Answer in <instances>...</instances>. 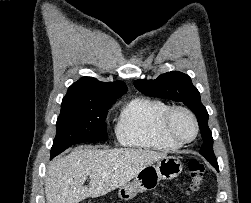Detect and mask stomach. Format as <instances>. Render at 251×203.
I'll list each match as a JSON object with an SVG mask.
<instances>
[{
  "instance_id": "1",
  "label": "stomach",
  "mask_w": 251,
  "mask_h": 203,
  "mask_svg": "<svg viewBox=\"0 0 251 203\" xmlns=\"http://www.w3.org/2000/svg\"><path fill=\"white\" fill-rule=\"evenodd\" d=\"M183 166L178 157L166 156L144 167L132 182H127L118 190V195L123 200L134 198L139 192L155 189L162 179L176 178L182 172Z\"/></svg>"
}]
</instances>
